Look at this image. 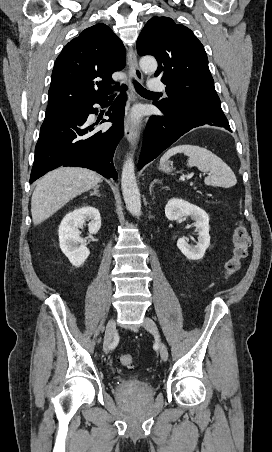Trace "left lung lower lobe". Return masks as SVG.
<instances>
[{
  "mask_svg": "<svg viewBox=\"0 0 272 452\" xmlns=\"http://www.w3.org/2000/svg\"><path fill=\"white\" fill-rule=\"evenodd\" d=\"M154 104L164 116L154 115L147 124L138 162L139 170L193 128L212 125L232 132L219 104L197 100L171 108L164 107L158 102Z\"/></svg>",
  "mask_w": 272,
  "mask_h": 452,
  "instance_id": "1",
  "label": "left lung lower lobe"
}]
</instances>
